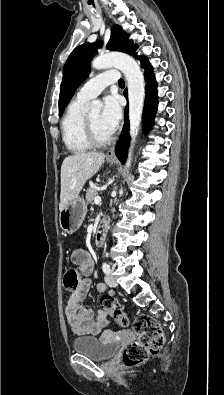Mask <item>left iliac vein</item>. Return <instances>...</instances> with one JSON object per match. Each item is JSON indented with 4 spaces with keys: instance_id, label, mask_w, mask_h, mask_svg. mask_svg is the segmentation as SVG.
<instances>
[{
    "instance_id": "1",
    "label": "left iliac vein",
    "mask_w": 224,
    "mask_h": 395,
    "mask_svg": "<svg viewBox=\"0 0 224 395\" xmlns=\"http://www.w3.org/2000/svg\"><path fill=\"white\" fill-rule=\"evenodd\" d=\"M105 282L110 287H116L117 286L116 280H115L114 276L111 275V274H107L105 276Z\"/></svg>"
}]
</instances>
